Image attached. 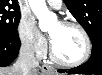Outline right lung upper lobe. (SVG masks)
<instances>
[{"instance_id": "1", "label": "right lung upper lobe", "mask_w": 102, "mask_h": 75, "mask_svg": "<svg viewBox=\"0 0 102 75\" xmlns=\"http://www.w3.org/2000/svg\"><path fill=\"white\" fill-rule=\"evenodd\" d=\"M3 3L18 4V0H0Z\"/></svg>"}]
</instances>
